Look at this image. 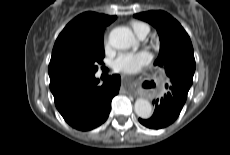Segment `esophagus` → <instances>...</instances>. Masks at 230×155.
<instances>
[{
	"instance_id": "1",
	"label": "esophagus",
	"mask_w": 230,
	"mask_h": 155,
	"mask_svg": "<svg viewBox=\"0 0 230 155\" xmlns=\"http://www.w3.org/2000/svg\"><path fill=\"white\" fill-rule=\"evenodd\" d=\"M123 82L126 86L134 85V82L130 81L127 76H122Z\"/></svg>"
}]
</instances>
